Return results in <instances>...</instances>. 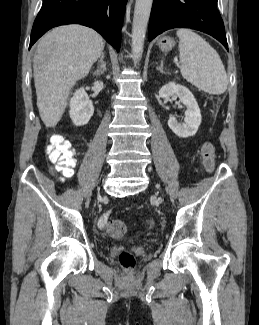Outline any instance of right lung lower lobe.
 <instances>
[{
  "mask_svg": "<svg viewBox=\"0 0 259 325\" xmlns=\"http://www.w3.org/2000/svg\"><path fill=\"white\" fill-rule=\"evenodd\" d=\"M126 3L127 0H43L29 48L53 27L81 24L95 29L119 51Z\"/></svg>",
  "mask_w": 259,
  "mask_h": 325,
  "instance_id": "98d812e1",
  "label": "right lung lower lobe"
}]
</instances>
